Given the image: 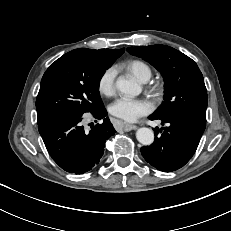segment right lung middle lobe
<instances>
[{"label": "right lung middle lobe", "mask_w": 231, "mask_h": 231, "mask_svg": "<svg viewBox=\"0 0 231 231\" xmlns=\"http://www.w3.org/2000/svg\"><path fill=\"white\" fill-rule=\"evenodd\" d=\"M112 63L87 48L70 51L52 63L36 100L38 124L57 117H82L103 108L99 83Z\"/></svg>", "instance_id": "dd1d6c3e"}]
</instances>
